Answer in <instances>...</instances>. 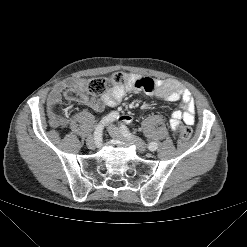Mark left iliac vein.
Returning a JSON list of instances; mask_svg holds the SVG:
<instances>
[{"label": "left iliac vein", "mask_w": 247, "mask_h": 247, "mask_svg": "<svg viewBox=\"0 0 247 247\" xmlns=\"http://www.w3.org/2000/svg\"><path fill=\"white\" fill-rule=\"evenodd\" d=\"M108 131L113 138L131 142L137 147V150L139 152H145V145L141 139L133 137L131 135L129 136L124 135L122 131L119 130L114 125H110L108 127Z\"/></svg>", "instance_id": "obj_1"}]
</instances>
